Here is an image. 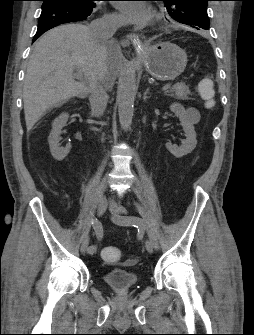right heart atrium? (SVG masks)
<instances>
[{"mask_svg":"<svg viewBox=\"0 0 254 335\" xmlns=\"http://www.w3.org/2000/svg\"><path fill=\"white\" fill-rule=\"evenodd\" d=\"M104 20L107 22H118L120 20L119 16L115 13H111L104 17Z\"/></svg>","mask_w":254,"mask_h":335,"instance_id":"1","label":"right heart atrium"}]
</instances>
